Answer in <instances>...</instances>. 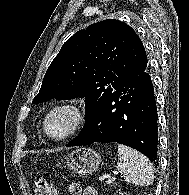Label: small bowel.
<instances>
[{
    "instance_id": "obj_1",
    "label": "small bowel",
    "mask_w": 189,
    "mask_h": 195,
    "mask_svg": "<svg viewBox=\"0 0 189 195\" xmlns=\"http://www.w3.org/2000/svg\"><path fill=\"white\" fill-rule=\"evenodd\" d=\"M84 195H98V192L93 187H87L84 191Z\"/></svg>"
}]
</instances>
